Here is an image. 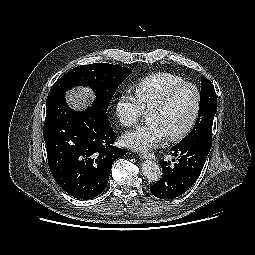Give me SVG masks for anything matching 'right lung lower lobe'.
<instances>
[{"mask_svg":"<svg viewBox=\"0 0 255 255\" xmlns=\"http://www.w3.org/2000/svg\"><path fill=\"white\" fill-rule=\"evenodd\" d=\"M49 168L54 180L77 199H92L106 187L115 159L126 151L112 144L109 120L90 107L74 111L58 94L46 103L43 128Z\"/></svg>","mask_w":255,"mask_h":255,"instance_id":"obj_1","label":"right lung lower lobe"}]
</instances>
